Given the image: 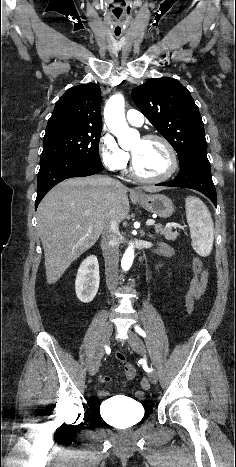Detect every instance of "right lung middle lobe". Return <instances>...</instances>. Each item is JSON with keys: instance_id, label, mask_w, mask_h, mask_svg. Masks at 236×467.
Wrapping results in <instances>:
<instances>
[{"instance_id": "right-lung-middle-lobe-1", "label": "right lung middle lobe", "mask_w": 236, "mask_h": 467, "mask_svg": "<svg viewBox=\"0 0 236 467\" xmlns=\"http://www.w3.org/2000/svg\"><path fill=\"white\" fill-rule=\"evenodd\" d=\"M101 128L59 125L46 128L41 162L58 157L73 156L102 165L99 157Z\"/></svg>"}]
</instances>
